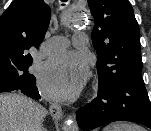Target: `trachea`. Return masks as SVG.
<instances>
[{"instance_id": "obj_1", "label": "trachea", "mask_w": 151, "mask_h": 131, "mask_svg": "<svg viewBox=\"0 0 151 131\" xmlns=\"http://www.w3.org/2000/svg\"><path fill=\"white\" fill-rule=\"evenodd\" d=\"M62 2H66L67 0H61Z\"/></svg>"}]
</instances>
